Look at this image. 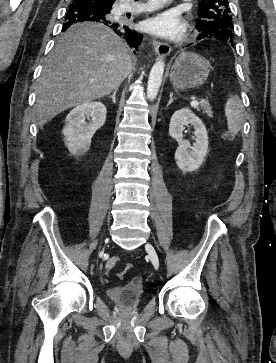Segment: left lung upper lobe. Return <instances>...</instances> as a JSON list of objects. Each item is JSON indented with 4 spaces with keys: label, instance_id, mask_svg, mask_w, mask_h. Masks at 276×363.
Wrapping results in <instances>:
<instances>
[{
    "label": "left lung upper lobe",
    "instance_id": "5c2ea615",
    "mask_svg": "<svg viewBox=\"0 0 276 363\" xmlns=\"http://www.w3.org/2000/svg\"><path fill=\"white\" fill-rule=\"evenodd\" d=\"M228 0H203L199 2L198 16L201 18L197 30L204 38L216 37L224 41L233 40V22Z\"/></svg>",
    "mask_w": 276,
    "mask_h": 363
}]
</instances>
